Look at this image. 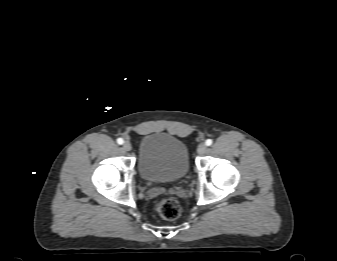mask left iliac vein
<instances>
[{"instance_id":"left-iliac-vein-1","label":"left iliac vein","mask_w":337,"mask_h":261,"mask_svg":"<svg viewBox=\"0 0 337 261\" xmlns=\"http://www.w3.org/2000/svg\"><path fill=\"white\" fill-rule=\"evenodd\" d=\"M206 150H207V146H206L205 143H200L197 147V152L200 155L204 154L206 152Z\"/></svg>"}]
</instances>
